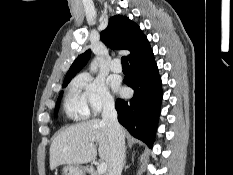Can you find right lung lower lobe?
<instances>
[{
    "label": "right lung lower lobe",
    "instance_id": "obj_1",
    "mask_svg": "<svg viewBox=\"0 0 233 175\" xmlns=\"http://www.w3.org/2000/svg\"><path fill=\"white\" fill-rule=\"evenodd\" d=\"M125 84L134 90L130 101L116 100L118 121L136 138L153 146L161 110L162 88L152 50L130 62Z\"/></svg>",
    "mask_w": 233,
    "mask_h": 175
}]
</instances>
